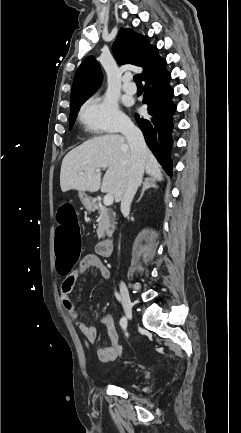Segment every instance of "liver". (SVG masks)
<instances>
[{"mask_svg": "<svg viewBox=\"0 0 241 433\" xmlns=\"http://www.w3.org/2000/svg\"><path fill=\"white\" fill-rule=\"evenodd\" d=\"M131 152L127 140L121 135H104L90 139L64 157L60 171L62 192L78 190L112 194L119 202L128 183ZM97 169H107L101 182ZM146 173L152 179H163L161 167L151 151L146 148ZM84 172L83 175L80 173Z\"/></svg>", "mask_w": 241, "mask_h": 433, "instance_id": "obj_1", "label": "liver"}]
</instances>
